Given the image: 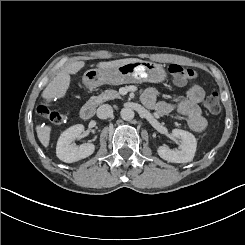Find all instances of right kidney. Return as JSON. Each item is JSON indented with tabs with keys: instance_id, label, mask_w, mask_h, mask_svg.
Segmentation results:
<instances>
[{
	"instance_id": "right-kidney-1",
	"label": "right kidney",
	"mask_w": 245,
	"mask_h": 245,
	"mask_svg": "<svg viewBox=\"0 0 245 245\" xmlns=\"http://www.w3.org/2000/svg\"><path fill=\"white\" fill-rule=\"evenodd\" d=\"M84 132L83 125H74L66 129L59 137L56 146L57 157L66 163H73L91 156L95 151L93 143H85L80 147L70 144L73 139L79 137Z\"/></svg>"
}]
</instances>
